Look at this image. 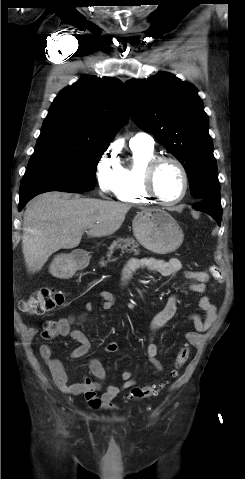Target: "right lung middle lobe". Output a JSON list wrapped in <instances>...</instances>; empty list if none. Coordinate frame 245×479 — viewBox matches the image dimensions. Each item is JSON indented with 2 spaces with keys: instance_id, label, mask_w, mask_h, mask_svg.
Instances as JSON below:
<instances>
[{
  "instance_id": "dd1d6c3e",
  "label": "right lung middle lobe",
  "mask_w": 245,
  "mask_h": 479,
  "mask_svg": "<svg viewBox=\"0 0 245 479\" xmlns=\"http://www.w3.org/2000/svg\"><path fill=\"white\" fill-rule=\"evenodd\" d=\"M106 149L64 132L41 131L20 191L37 186L90 191L95 187L96 167Z\"/></svg>"
}]
</instances>
